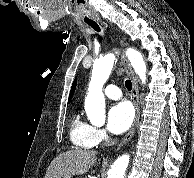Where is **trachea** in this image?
<instances>
[{
	"mask_svg": "<svg viewBox=\"0 0 194 178\" xmlns=\"http://www.w3.org/2000/svg\"><path fill=\"white\" fill-rule=\"evenodd\" d=\"M89 26L92 27L97 32L101 31V29H100V27H99V25L97 23H89ZM125 86H126V88L128 90H131L132 89V82H131V80L127 79L125 81Z\"/></svg>",
	"mask_w": 194,
	"mask_h": 178,
	"instance_id": "trachea-1",
	"label": "trachea"
}]
</instances>
